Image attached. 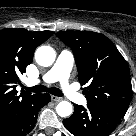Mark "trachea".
Returning a JSON list of instances; mask_svg holds the SVG:
<instances>
[{
	"label": "trachea",
	"instance_id": "3493384b",
	"mask_svg": "<svg viewBox=\"0 0 136 136\" xmlns=\"http://www.w3.org/2000/svg\"><path fill=\"white\" fill-rule=\"evenodd\" d=\"M24 89L29 92H34V93H40V92L47 91L50 94L55 95V96H59V97L63 96V93L58 88H55V87L47 88L44 85H37V86H33V87H24Z\"/></svg>",
	"mask_w": 136,
	"mask_h": 136
}]
</instances>
